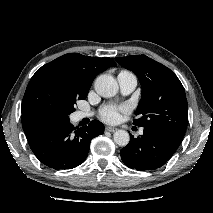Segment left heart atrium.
Masks as SVG:
<instances>
[{"label":"left heart atrium","instance_id":"1","mask_svg":"<svg viewBox=\"0 0 213 213\" xmlns=\"http://www.w3.org/2000/svg\"><path fill=\"white\" fill-rule=\"evenodd\" d=\"M124 111L123 108L106 107L101 112V117L104 121L114 123L119 119L120 112Z\"/></svg>","mask_w":213,"mask_h":213}]
</instances>
